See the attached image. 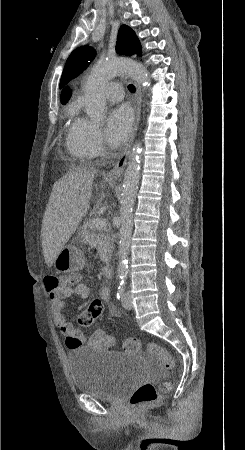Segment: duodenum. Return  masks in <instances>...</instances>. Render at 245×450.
Returning a JSON list of instances; mask_svg holds the SVG:
<instances>
[{
	"label": "duodenum",
	"instance_id": "duodenum-1",
	"mask_svg": "<svg viewBox=\"0 0 245 450\" xmlns=\"http://www.w3.org/2000/svg\"><path fill=\"white\" fill-rule=\"evenodd\" d=\"M102 271H103V274L106 275V276H110V277L113 276L114 275V265H113V263L110 262V263L105 264L103 269H102Z\"/></svg>",
	"mask_w": 245,
	"mask_h": 450
}]
</instances>
